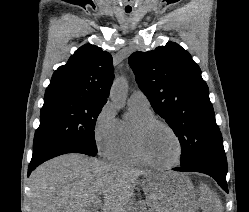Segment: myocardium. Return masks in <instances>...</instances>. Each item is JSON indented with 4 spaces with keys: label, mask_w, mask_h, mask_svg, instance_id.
<instances>
[{
    "label": "myocardium",
    "mask_w": 249,
    "mask_h": 212,
    "mask_svg": "<svg viewBox=\"0 0 249 212\" xmlns=\"http://www.w3.org/2000/svg\"><path fill=\"white\" fill-rule=\"evenodd\" d=\"M160 126L170 132L174 138L176 139L178 146H179V155L175 162L170 164H161L154 162L146 153L144 148V137L146 133L151 130L153 127ZM132 139H133V145L136 152L137 157L140 159V161L143 164H146L153 168L158 169H172L177 167L183 160L185 148L184 144L182 142V139L178 135V133L174 130L172 126H170L168 123L159 120L155 117L148 118L145 120L138 121L134 124L132 129Z\"/></svg>",
    "instance_id": "1"
}]
</instances>
